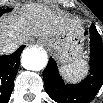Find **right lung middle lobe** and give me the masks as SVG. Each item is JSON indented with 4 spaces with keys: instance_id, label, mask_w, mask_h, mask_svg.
I'll return each mask as SVG.
<instances>
[{
    "instance_id": "right-lung-middle-lobe-1",
    "label": "right lung middle lobe",
    "mask_w": 103,
    "mask_h": 103,
    "mask_svg": "<svg viewBox=\"0 0 103 103\" xmlns=\"http://www.w3.org/2000/svg\"><path fill=\"white\" fill-rule=\"evenodd\" d=\"M11 10H12L11 8L10 9H1L0 10V15H2L3 13L9 12Z\"/></svg>"
}]
</instances>
